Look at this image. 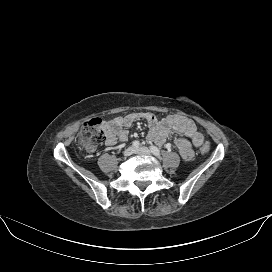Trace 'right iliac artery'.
Here are the masks:
<instances>
[{
    "mask_svg": "<svg viewBox=\"0 0 272 272\" xmlns=\"http://www.w3.org/2000/svg\"><path fill=\"white\" fill-rule=\"evenodd\" d=\"M132 145L134 148H138L140 146V143H139V141L136 140L132 143Z\"/></svg>",
    "mask_w": 272,
    "mask_h": 272,
    "instance_id": "1",
    "label": "right iliac artery"
}]
</instances>
